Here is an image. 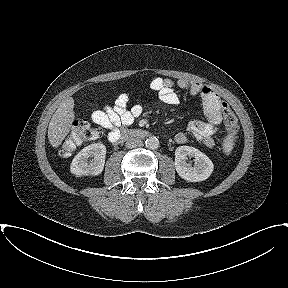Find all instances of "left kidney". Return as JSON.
I'll return each mask as SVG.
<instances>
[{"mask_svg": "<svg viewBox=\"0 0 288 288\" xmlns=\"http://www.w3.org/2000/svg\"><path fill=\"white\" fill-rule=\"evenodd\" d=\"M187 157L195 158L193 167L186 162ZM174 165L178 175L189 182H200L208 179L214 168L212 161L204 153L190 146L176 148Z\"/></svg>", "mask_w": 288, "mask_h": 288, "instance_id": "5707ae66", "label": "left kidney"}]
</instances>
